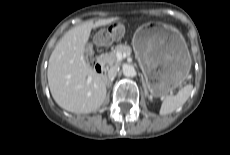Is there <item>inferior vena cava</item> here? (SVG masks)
<instances>
[{
    "label": "inferior vena cava",
    "mask_w": 230,
    "mask_h": 155,
    "mask_svg": "<svg viewBox=\"0 0 230 155\" xmlns=\"http://www.w3.org/2000/svg\"><path fill=\"white\" fill-rule=\"evenodd\" d=\"M118 70H119L118 67H112L108 71V80H113L116 77Z\"/></svg>",
    "instance_id": "obj_1"
}]
</instances>
